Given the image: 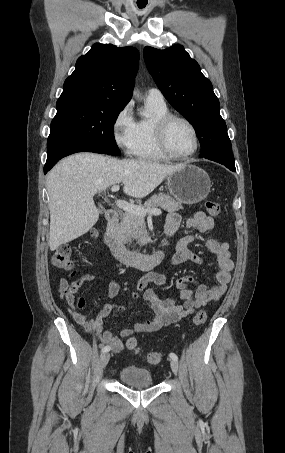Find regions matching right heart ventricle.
<instances>
[{
  "mask_svg": "<svg viewBox=\"0 0 285 453\" xmlns=\"http://www.w3.org/2000/svg\"><path fill=\"white\" fill-rule=\"evenodd\" d=\"M150 111L148 117H142L135 121L131 155L145 160H166V157L159 149L155 138V122L160 117L169 114L166 104H158L147 101Z\"/></svg>",
  "mask_w": 285,
  "mask_h": 453,
  "instance_id": "obj_1",
  "label": "right heart ventricle"
}]
</instances>
